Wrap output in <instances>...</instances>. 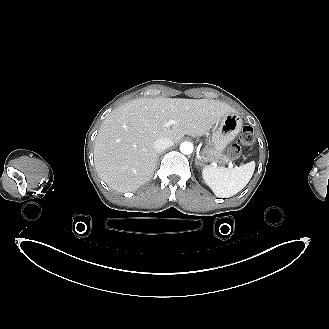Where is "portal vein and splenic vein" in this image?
<instances>
[{
    "label": "portal vein and splenic vein",
    "mask_w": 329,
    "mask_h": 329,
    "mask_svg": "<svg viewBox=\"0 0 329 329\" xmlns=\"http://www.w3.org/2000/svg\"><path fill=\"white\" fill-rule=\"evenodd\" d=\"M175 123L176 122L174 120L170 119L169 121H167L166 123H164L162 126L168 128V127H170L171 125H173ZM232 167H233V164L230 163L229 164V168H232Z\"/></svg>",
    "instance_id": "1"
}]
</instances>
